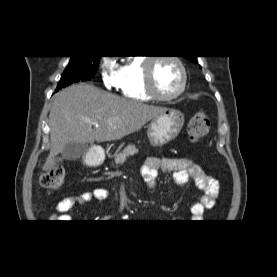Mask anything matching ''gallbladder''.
Wrapping results in <instances>:
<instances>
[{
    "instance_id": "1",
    "label": "gallbladder",
    "mask_w": 277,
    "mask_h": 277,
    "mask_svg": "<svg viewBox=\"0 0 277 277\" xmlns=\"http://www.w3.org/2000/svg\"><path fill=\"white\" fill-rule=\"evenodd\" d=\"M89 149L86 143L69 142L63 152L62 156L66 160H77L87 153Z\"/></svg>"
}]
</instances>
